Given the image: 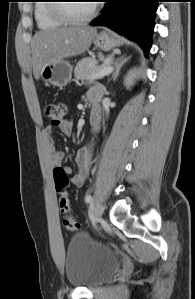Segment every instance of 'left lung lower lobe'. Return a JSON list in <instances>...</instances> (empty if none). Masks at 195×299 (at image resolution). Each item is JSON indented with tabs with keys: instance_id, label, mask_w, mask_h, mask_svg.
I'll use <instances>...</instances> for the list:
<instances>
[{
	"instance_id": "0a47b994",
	"label": "left lung lower lobe",
	"mask_w": 195,
	"mask_h": 299,
	"mask_svg": "<svg viewBox=\"0 0 195 299\" xmlns=\"http://www.w3.org/2000/svg\"><path fill=\"white\" fill-rule=\"evenodd\" d=\"M103 13L91 26H107L136 41L147 55L152 44L159 0H106Z\"/></svg>"
}]
</instances>
